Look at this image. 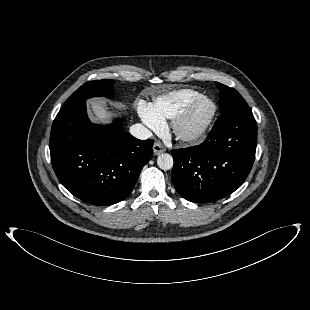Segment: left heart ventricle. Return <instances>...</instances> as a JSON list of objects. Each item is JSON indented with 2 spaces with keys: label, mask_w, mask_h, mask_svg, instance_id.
I'll return each instance as SVG.
<instances>
[{
  "label": "left heart ventricle",
  "mask_w": 310,
  "mask_h": 310,
  "mask_svg": "<svg viewBox=\"0 0 310 310\" xmlns=\"http://www.w3.org/2000/svg\"><path fill=\"white\" fill-rule=\"evenodd\" d=\"M211 111V105L208 102H202L196 105L191 111L187 121L184 124V129L191 132L197 129L206 119Z\"/></svg>",
  "instance_id": "obj_1"
}]
</instances>
